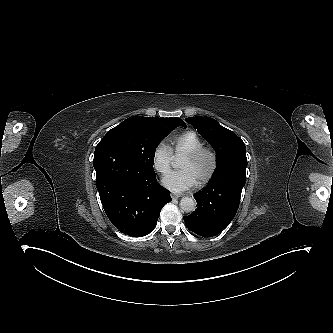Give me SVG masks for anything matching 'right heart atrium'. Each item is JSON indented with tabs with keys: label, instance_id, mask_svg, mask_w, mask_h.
Segmentation results:
<instances>
[{
	"label": "right heart atrium",
	"instance_id": "1",
	"mask_svg": "<svg viewBox=\"0 0 333 333\" xmlns=\"http://www.w3.org/2000/svg\"><path fill=\"white\" fill-rule=\"evenodd\" d=\"M173 164L170 150L164 146L157 147L154 152V168L160 173H166Z\"/></svg>",
	"mask_w": 333,
	"mask_h": 333
}]
</instances>
